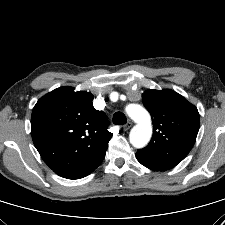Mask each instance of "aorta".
I'll return each instance as SVG.
<instances>
[{
	"instance_id": "762f6f07",
	"label": "aorta",
	"mask_w": 225,
	"mask_h": 225,
	"mask_svg": "<svg viewBox=\"0 0 225 225\" xmlns=\"http://www.w3.org/2000/svg\"><path fill=\"white\" fill-rule=\"evenodd\" d=\"M128 116L136 123L131 129L129 140L135 148H143L152 136V125L150 114L146 109L137 104L127 106Z\"/></svg>"
}]
</instances>
